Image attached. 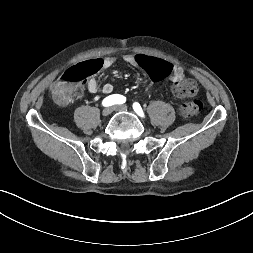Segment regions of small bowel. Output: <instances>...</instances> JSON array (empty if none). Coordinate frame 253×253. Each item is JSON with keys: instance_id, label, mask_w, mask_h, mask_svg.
<instances>
[{"instance_id": "c3829d8e", "label": "small bowel", "mask_w": 253, "mask_h": 253, "mask_svg": "<svg viewBox=\"0 0 253 253\" xmlns=\"http://www.w3.org/2000/svg\"><path fill=\"white\" fill-rule=\"evenodd\" d=\"M138 54H128L124 56V61L133 66L140 68V65H138L135 62V57ZM148 56V55H146ZM99 60L101 64V69H109L115 64V58L114 57H105L103 59H97ZM170 76V80L173 83H176L179 79H181L184 76V71L180 66H172L171 65V73L168 75ZM87 89L90 93H96L98 91V82L95 78H90L86 83ZM113 91V85L110 83H106L102 87V92L105 94H110Z\"/></svg>"}]
</instances>
